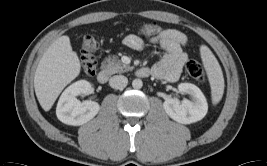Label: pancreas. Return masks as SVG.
Instances as JSON below:
<instances>
[{
    "label": "pancreas",
    "mask_w": 267,
    "mask_h": 166,
    "mask_svg": "<svg viewBox=\"0 0 267 166\" xmlns=\"http://www.w3.org/2000/svg\"><path fill=\"white\" fill-rule=\"evenodd\" d=\"M102 69L109 74L123 73L133 68L129 65L123 64L116 56H108L102 63Z\"/></svg>",
    "instance_id": "1"
}]
</instances>
